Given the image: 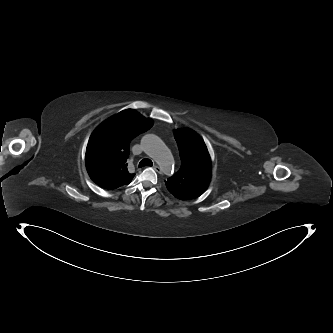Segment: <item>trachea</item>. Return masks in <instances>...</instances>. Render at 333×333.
Wrapping results in <instances>:
<instances>
[{"instance_id":"1","label":"trachea","mask_w":333,"mask_h":333,"mask_svg":"<svg viewBox=\"0 0 333 333\" xmlns=\"http://www.w3.org/2000/svg\"><path fill=\"white\" fill-rule=\"evenodd\" d=\"M153 166V162L150 159H142L139 163V167Z\"/></svg>"}]
</instances>
